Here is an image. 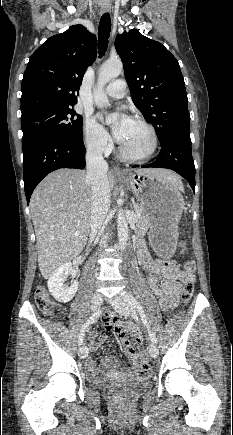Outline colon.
Listing matches in <instances>:
<instances>
[{"label": "colon", "mask_w": 233, "mask_h": 435, "mask_svg": "<svg viewBox=\"0 0 233 435\" xmlns=\"http://www.w3.org/2000/svg\"><path fill=\"white\" fill-rule=\"evenodd\" d=\"M180 247L182 248V251H184V243L180 242ZM183 269L188 274V278L185 279L183 282V289H182V301L185 304H188L191 300L192 294H193V288H194V282L192 275L196 271V263L193 260H188L183 263ZM35 303L37 307L46 315H50L53 312V303L49 299L46 289L43 286H38L35 290ZM136 366L138 368H145L147 369V353L141 352L139 355V360L136 363ZM114 399L118 403H123L126 401L127 396L125 393L117 392L114 394Z\"/></svg>", "instance_id": "colon-1"}]
</instances>
